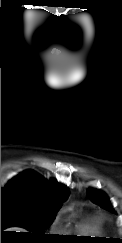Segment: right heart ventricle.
Masks as SVG:
<instances>
[{
  "label": "right heart ventricle",
  "mask_w": 122,
  "mask_h": 243,
  "mask_svg": "<svg viewBox=\"0 0 122 243\" xmlns=\"http://www.w3.org/2000/svg\"><path fill=\"white\" fill-rule=\"evenodd\" d=\"M100 229V224L95 220H85L78 228V230L84 234H99Z\"/></svg>",
  "instance_id": "1"
}]
</instances>
